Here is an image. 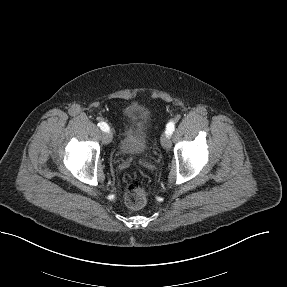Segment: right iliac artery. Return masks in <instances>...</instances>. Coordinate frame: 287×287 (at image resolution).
Masks as SVG:
<instances>
[{
    "label": "right iliac artery",
    "instance_id": "1",
    "mask_svg": "<svg viewBox=\"0 0 287 287\" xmlns=\"http://www.w3.org/2000/svg\"><path fill=\"white\" fill-rule=\"evenodd\" d=\"M98 126L104 132H108L109 131V126L105 122H99Z\"/></svg>",
    "mask_w": 287,
    "mask_h": 287
}]
</instances>
